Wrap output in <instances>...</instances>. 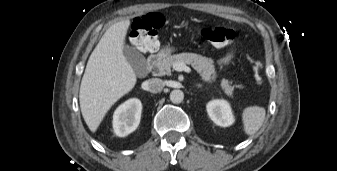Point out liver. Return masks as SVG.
I'll return each instance as SVG.
<instances>
[{"mask_svg":"<svg viewBox=\"0 0 337 171\" xmlns=\"http://www.w3.org/2000/svg\"><path fill=\"white\" fill-rule=\"evenodd\" d=\"M130 20L113 24L91 53L81 81L79 101L82 116L95 132L111 106L130 92L137 81L124 55Z\"/></svg>","mask_w":337,"mask_h":171,"instance_id":"obj_1","label":"liver"}]
</instances>
